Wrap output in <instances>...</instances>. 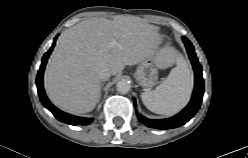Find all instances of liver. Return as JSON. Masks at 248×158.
Returning <instances> with one entry per match:
<instances>
[{"label": "liver", "instance_id": "1", "mask_svg": "<svg viewBox=\"0 0 248 158\" xmlns=\"http://www.w3.org/2000/svg\"><path fill=\"white\" fill-rule=\"evenodd\" d=\"M113 41L118 45L110 47ZM160 43L158 27L136 16L84 20L57 41L44 74L47 95L64 111L88 113L100 98L102 69L117 75L126 65L148 58L160 61L172 53L168 47L159 49Z\"/></svg>", "mask_w": 248, "mask_h": 158}]
</instances>
